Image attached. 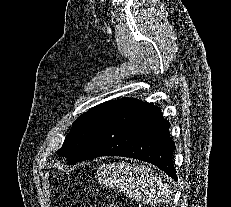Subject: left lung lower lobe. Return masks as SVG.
I'll use <instances>...</instances> for the list:
<instances>
[{
	"label": "left lung lower lobe",
	"instance_id": "left-lung-lower-lobe-1",
	"mask_svg": "<svg viewBox=\"0 0 231 207\" xmlns=\"http://www.w3.org/2000/svg\"><path fill=\"white\" fill-rule=\"evenodd\" d=\"M169 126L159 107L130 98L108 118L79 161L108 155L130 157L154 164L177 180Z\"/></svg>",
	"mask_w": 231,
	"mask_h": 207
}]
</instances>
